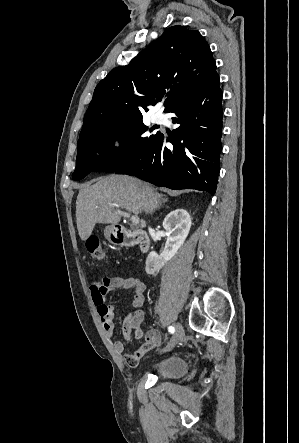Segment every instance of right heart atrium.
<instances>
[{
	"mask_svg": "<svg viewBox=\"0 0 299 443\" xmlns=\"http://www.w3.org/2000/svg\"><path fill=\"white\" fill-rule=\"evenodd\" d=\"M126 138L123 134H116L108 143V147L112 151L121 149L125 144Z\"/></svg>",
	"mask_w": 299,
	"mask_h": 443,
	"instance_id": "right-heart-atrium-1",
	"label": "right heart atrium"
}]
</instances>
